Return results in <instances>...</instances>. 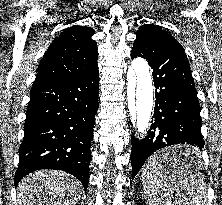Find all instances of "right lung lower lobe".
I'll return each instance as SVG.
<instances>
[{"label":"right lung lower lobe","instance_id":"obj_1","mask_svg":"<svg viewBox=\"0 0 222 205\" xmlns=\"http://www.w3.org/2000/svg\"><path fill=\"white\" fill-rule=\"evenodd\" d=\"M98 80L96 67L84 75L33 85L15 185L32 171L57 169L78 178L87 190Z\"/></svg>","mask_w":222,"mask_h":205}]
</instances>
